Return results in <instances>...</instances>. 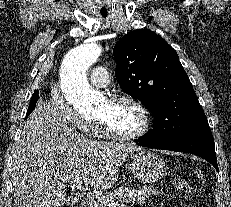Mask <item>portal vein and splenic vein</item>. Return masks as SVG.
Here are the masks:
<instances>
[{
	"label": "portal vein and splenic vein",
	"mask_w": 231,
	"mask_h": 207,
	"mask_svg": "<svg viewBox=\"0 0 231 207\" xmlns=\"http://www.w3.org/2000/svg\"><path fill=\"white\" fill-rule=\"evenodd\" d=\"M64 182H70L73 188H76L77 190H79L81 193L85 194L87 196V198L89 199H93V200H103L104 197L100 196L98 194V192L95 191H89L87 187L83 186V183L81 182H75V181H70L68 179H63ZM108 207H122L123 205L120 203H116V202H111L108 203L107 205Z\"/></svg>",
	"instance_id": "1"
}]
</instances>
